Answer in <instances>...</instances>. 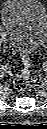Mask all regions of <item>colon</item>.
<instances>
[{
    "instance_id": "1",
    "label": "colon",
    "mask_w": 47,
    "mask_h": 129,
    "mask_svg": "<svg viewBox=\"0 0 47 129\" xmlns=\"http://www.w3.org/2000/svg\"><path fill=\"white\" fill-rule=\"evenodd\" d=\"M22 69L20 73L15 77L13 84L14 87L19 91H24L29 87L30 84V69L31 59L27 54H22Z\"/></svg>"
}]
</instances>
